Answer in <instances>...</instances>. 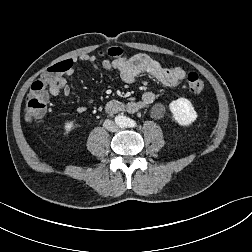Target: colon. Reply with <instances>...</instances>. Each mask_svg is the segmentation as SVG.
I'll list each match as a JSON object with an SVG mask.
<instances>
[{"instance_id":"1","label":"colon","mask_w":252,"mask_h":252,"mask_svg":"<svg viewBox=\"0 0 252 252\" xmlns=\"http://www.w3.org/2000/svg\"><path fill=\"white\" fill-rule=\"evenodd\" d=\"M106 54L112 58H119L122 55L120 48H110ZM69 69V64L66 61L59 62L51 66L41 78L33 82L31 85L30 93L25 100L24 114L28 121H34L41 119L47 109V89L50 86L55 85ZM188 89L193 94H201L207 89V83L202 75L190 72L186 77Z\"/></svg>"}]
</instances>
